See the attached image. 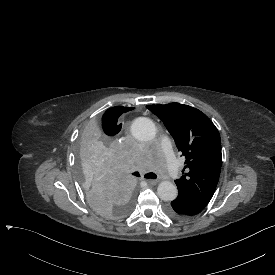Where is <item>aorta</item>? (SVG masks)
<instances>
[{
	"label": "aorta",
	"mask_w": 275,
	"mask_h": 275,
	"mask_svg": "<svg viewBox=\"0 0 275 275\" xmlns=\"http://www.w3.org/2000/svg\"><path fill=\"white\" fill-rule=\"evenodd\" d=\"M133 137L140 141H148L154 138L156 128L152 120L147 117H137L131 125ZM158 196L164 202H171L177 198V187L171 182H162L159 184Z\"/></svg>",
	"instance_id": "1"
}]
</instances>
